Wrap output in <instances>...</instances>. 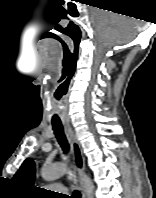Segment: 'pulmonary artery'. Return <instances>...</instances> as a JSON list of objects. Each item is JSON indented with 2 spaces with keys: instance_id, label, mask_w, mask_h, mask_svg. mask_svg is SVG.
I'll return each mask as SVG.
<instances>
[{
  "instance_id": "pulmonary-artery-1",
  "label": "pulmonary artery",
  "mask_w": 156,
  "mask_h": 198,
  "mask_svg": "<svg viewBox=\"0 0 156 198\" xmlns=\"http://www.w3.org/2000/svg\"><path fill=\"white\" fill-rule=\"evenodd\" d=\"M50 188L62 193L67 191V189L62 185H50Z\"/></svg>"
}]
</instances>
